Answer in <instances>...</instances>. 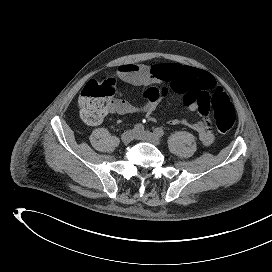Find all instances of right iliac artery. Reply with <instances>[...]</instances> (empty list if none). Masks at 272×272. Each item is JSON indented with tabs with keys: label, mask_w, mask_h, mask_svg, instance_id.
<instances>
[{
	"label": "right iliac artery",
	"mask_w": 272,
	"mask_h": 272,
	"mask_svg": "<svg viewBox=\"0 0 272 272\" xmlns=\"http://www.w3.org/2000/svg\"><path fill=\"white\" fill-rule=\"evenodd\" d=\"M135 132H143L144 131V126L140 123L136 124L133 129Z\"/></svg>",
	"instance_id": "1"
}]
</instances>
